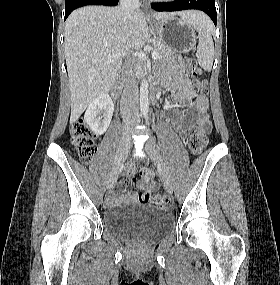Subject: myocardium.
<instances>
[{
	"mask_svg": "<svg viewBox=\"0 0 280 285\" xmlns=\"http://www.w3.org/2000/svg\"><path fill=\"white\" fill-rule=\"evenodd\" d=\"M152 1L160 2V3H165V2H171V1H173V0H152Z\"/></svg>",
	"mask_w": 280,
	"mask_h": 285,
	"instance_id": "1",
	"label": "myocardium"
}]
</instances>
